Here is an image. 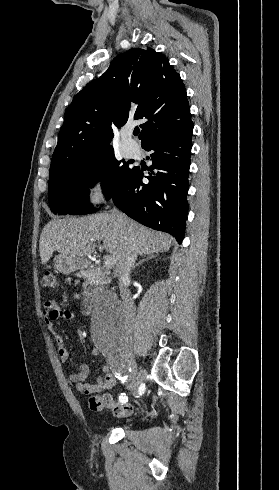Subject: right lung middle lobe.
I'll return each instance as SVG.
<instances>
[{"instance_id":"obj_1","label":"right lung middle lobe","mask_w":279,"mask_h":490,"mask_svg":"<svg viewBox=\"0 0 279 490\" xmlns=\"http://www.w3.org/2000/svg\"><path fill=\"white\" fill-rule=\"evenodd\" d=\"M132 169L128 163L116 160L113 149H108L96 159L50 178L48 192L51 211L59 215L95 212L86 201L89 188L101 181L103 192L110 199Z\"/></svg>"}]
</instances>
